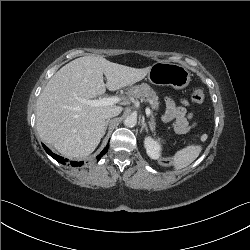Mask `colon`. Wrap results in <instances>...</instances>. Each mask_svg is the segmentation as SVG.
<instances>
[{"label":"colon","instance_id":"5ec220e1","mask_svg":"<svg viewBox=\"0 0 250 250\" xmlns=\"http://www.w3.org/2000/svg\"><path fill=\"white\" fill-rule=\"evenodd\" d=\"M205 98V93L201 88H196L191 94V99L195 103H202ZM156 161L163 167H173L176 164V159L173 156H165L160 154L157 156Z\"/></svg>","mask_w":250,"mask_h":250}]
</instances>
